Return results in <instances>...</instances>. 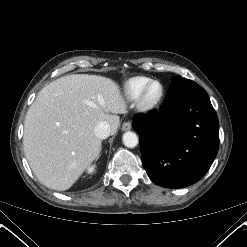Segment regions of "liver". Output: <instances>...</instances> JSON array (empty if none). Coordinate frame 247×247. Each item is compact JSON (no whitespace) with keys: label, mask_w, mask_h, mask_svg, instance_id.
<instances>
[{"label":"liver","mask_w":247,"mask_h":247,"mask_svg":"<svg viewBox=\"0 0 247 247\" xmlns=\"http://www.w3.org/2000/svg\"><path fill=\"white\" fill-rule=\"evenodd\" d=\"M125 112L119 85L106 77L67 75L45 86L27 112L23 136L38 180L50 189H69L99 156L102 141L95 126L106 121L114 134L116 114Z\"/></svg>","instance_id":"obj_1"}]
</instances>
